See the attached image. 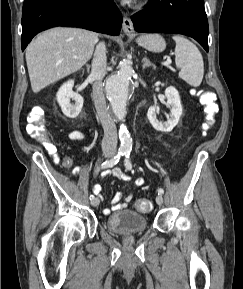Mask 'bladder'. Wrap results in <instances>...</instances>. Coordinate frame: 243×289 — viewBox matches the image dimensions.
I'll list each match as a JSON object with an SVG mask.
<instances>
[{
	"label": "bladder",
	"mask_w": 243,
	"mask_h": 289,
	"mask_svg": "<svg viewBox=\"0 0 243 289\" xmlns=\"http://www.w3.org/2000/svg\"><path fill=\"white\" fill-rule=\"evenodd\" d=\"M147 226V218L144 215L127 209L116 211L106 219L107 229L119 234L142 232Z\"/></svg>",
	"instance_id": "31cf9c89"
}]
</instances>
